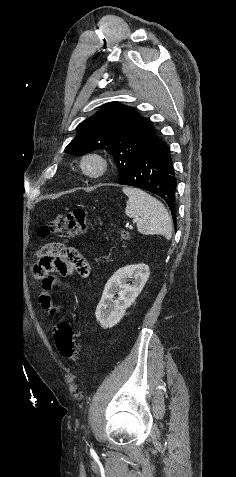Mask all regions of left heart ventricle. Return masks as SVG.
I'll return each mask as SVG.
<instances>
[{
  "mask_svg": "<svg viewBox=\"0 0 236 477\" xmlns=\"http://www.w3.org/2000/svg\"><path fill=\"white\" fill-rule=\"evenodd\" d=\"M88 168H89L90 170H94V169L96 168L95 163L90 162V163L88 164Z\"/></svg>",
  "mask_w": 236,
  "mask_h": 477,
  "instance_id": "left-heart-ventricle-1",
  "label": "left heart ventricle"
}]
</instances>
